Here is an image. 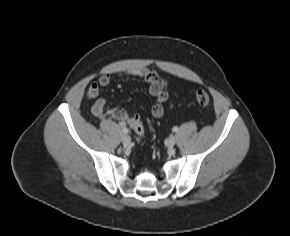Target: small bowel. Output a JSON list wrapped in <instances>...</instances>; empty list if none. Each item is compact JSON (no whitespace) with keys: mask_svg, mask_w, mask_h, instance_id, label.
<instances>
[{"mask_svg":"<svg viewBox=\"0 0 290 236\" xmlns=\"http://www.w3.org/2000/svg\"><path fill=\"white\" fill-rule=\"evenodd\" d=\"M124 77L135 76L144 80L149 86V93L154 98L151 107V114L155 118H161L164 114L163 103L168 98L167 84L165 80L156 72L146 67H136L122 73ZM112 83L109 74L102 75L97 82L92 83L87 89V97L95 100L92 106V113L99 118L112 117L119 124L125 125L129 121L127 112L122 108H112L105 110L106 101L99 97L100 88L109 87Z\"/></svg>","mask_w":290,"mask_h":236,"instance_id":"obj_1","label":"small bowel"}]
</instances>
